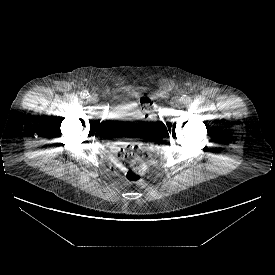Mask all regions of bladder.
I'll list each match as a JSON object with an SVG mask.
<instances>
[{"label": "bladder", "mask_w": 275, "mask_h": 275, "mask_svg": "<svg viewBox=\"0 0 275 275\" xmlns=\"http://www.w3.org/2000/svg\"><path fill=\"white\" fill-rule=\"evenodd\" d=\"M107 123L112 129L138 132L147 123V117L132 103L121 101L114 104L109 110Z\"/></svg>", "instance_id": "31cf9c89"}]
</instances>
